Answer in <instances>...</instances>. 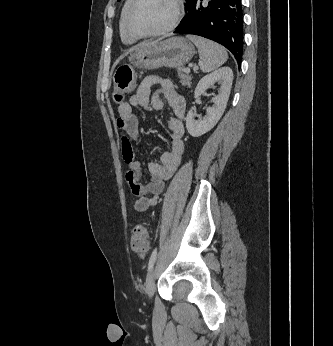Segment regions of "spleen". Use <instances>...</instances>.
<instances>
[{
	"instance_id": "spleen-1",
	"label": "spleen",
	"mask_w": 333,
	"mask_h": 346,
	"mask_svg": "<svg viewBox=\"0 0 333 346\" xmlns=\"http://www.w3.org/2000/svg\"><path fill=\"white\" fill-rule=\"evenodd\" d=\"M187 38L198 48L201 70L204 73L215 70L227 61V52L217 43L194 35H188Z\"/></svg>"
}]
</instances>
